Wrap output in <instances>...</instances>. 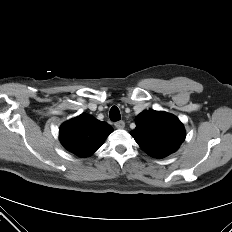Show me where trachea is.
<instances>
[{"mask_svg": "<svg viewBox=\"0 0 232 232\" xmlns=\"http://www.w3.org/2000/svg\"><path fill=\"white\" fill-rule=\"evenodd\" d=\"M109 116L112 121H119L121 119L120 111L116 106H113L110 109Z\"/></svg>", "mask_w": 232, "mask_h": 232, "instance_id": "trachea-1", "label": "trachea"}]
</instances>
